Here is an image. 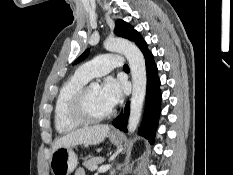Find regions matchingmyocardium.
<instances>
[{
	"mask_svg": "<svg viewBox=\"0 0 233 175\" xmlns=\"http://www.w3.org/2000/svg\"><path fill=\"white\" fill-rule=\"evenodd\" d=\"M89 89L90 86H83L74 94L69 104L70 116L83 124L98 123L110 118L114 113L113 109L103 115H94L90 112L88 107Z\"/></svg>",
	"mask_w": 233,
	"mask_h": 175,
	"instance_id": "1",
	"label": "myocardium"
}]
</instances>
